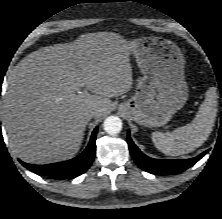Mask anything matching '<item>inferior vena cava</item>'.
Returning a JSON list of instances; mask_svg holds the SVG:
<instances>
[{
    "label": "inferior vena cava",
    "mask_w": 222,
    "mask_h": 219,
    "mask_svg": "<svg viewBox=\"0 0 222 219\" xmlns=\"http://www.w3.org/2000/svg\"><path fill=\"white\" fill-rule=\"evenodd\" d=\"M97 111H98L97 108H93L92 110H90V111L88 112V114H89L90 116H94V115L97 113Z\"/></svg>",
    "instance_id": "inferior-vena-cava-1"
}]
</instances>
